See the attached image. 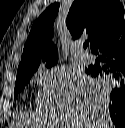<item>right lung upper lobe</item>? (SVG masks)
Instances as JSON below:
<instances>
[{
  "label": "right lung upper lobe",
  "mask_w": 125,
  "mask_h": 128,
  "mask_svg": "<svg viewBox=\"0 0 125 128\" xmlns=\"http://www.w3.org/2000/svg\"><path fill=\"white\" fill-rule=\"evenodd\" d=\"M59 3L51 4L33 24L23 49L18 71L47 59H58L51 43L53 23ZM66 25L74 39L88 35L91 50L107 36L125 25L124 7L119 0H74Z\"/></svg>",
  "instance_id": "cb5924a9"
}]
</instances>
